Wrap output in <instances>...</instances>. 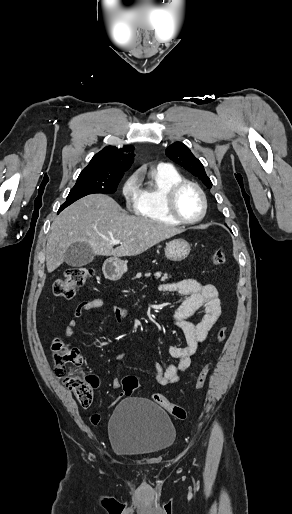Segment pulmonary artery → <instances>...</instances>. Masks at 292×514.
<instances>
[{
	"instance_id": "e3ab8cb5",
	"label": "pulmonary artery",
	"mask_w": 292,
	"mask_h": 514,
	"mask_svg": "<svg viewBox=\"0 0 292 514\" xmlns=\"http://www.w3.org/2000/svg\"><path fill=\"white\" fill-rule=\"evenodd\" d=\"M159 169L161 171H168L170 169V164L168 162H161L159 164Z\"/></svg>"
}]
</instances>
